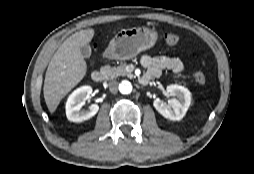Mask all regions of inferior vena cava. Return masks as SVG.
<instances>
[{
  "mask_svg": "<svg viewBox=\"0 0 254 174\" xmlns=\"http://www.w3.org/2000/svg\"><path fill=\"white\" fill-rule=\"evenodd\" d=\"M109 89L112 93L117 92L118 89V82L115 80H112L109 82Z\"/></svg>",
  "mask_w": 254,
  "mask_h": 174,
  "instance_id": "obj_1",
  "label": "inferior vena cava"
}]
</instances>
